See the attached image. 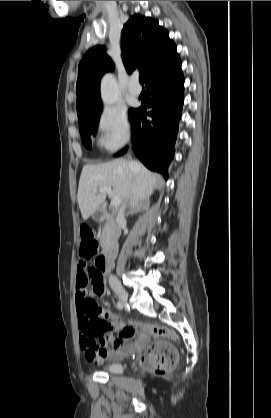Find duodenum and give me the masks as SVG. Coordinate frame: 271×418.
Instances as JSON below:
<instances>
[{
    "label": "duodenum",
    "instance_id": "obj_1",
    "mask_svg": "<svg viewBox=\"0 0 271 418\" xmlns=\"http://www.w3.org/2000/svg\"><path fill=\"white\" fill-rule=\"evenodd\" d=\"M94 217L97 221H107L108 223L106 242L102 253L96 260L97 267H101L102 274H105L110 269L116 256L120 226L116 224L112 213L98 211Z\"/></svg>",
    "mask_w": 271,
    "mask_h": 418
}]
</instances>
